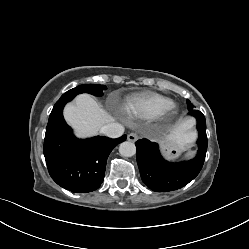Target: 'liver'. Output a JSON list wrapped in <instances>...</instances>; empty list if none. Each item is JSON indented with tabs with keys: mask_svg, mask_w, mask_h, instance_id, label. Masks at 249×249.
<instances>
[{
	"mask_svg": "<svg viewBox=\"0 0 249 249\" xmlns=\"http://www.w3.org/2000/svg\"><path fill=\"white\" fill-rule=\"evenodd\" d=\"M64 117L78 138L94 136L104 125L115 120L89 94H80L75 98L74 103L67 104L64 108ZM191 126V121L177 124L172 130L173 137L178 138L185 145L192 142L195 135L188 132Z\"/></svg>",
	"mask_w": 249,
	"mask_h": 249,
	"instance_id": "6515ba94",
	"label": "liver"
}]
</instances>
